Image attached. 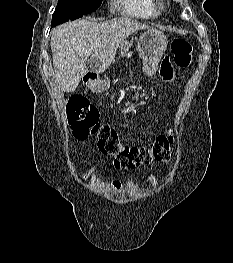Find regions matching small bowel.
<instances>
[{
	"instance_id": "obj_1",
	"label": "small bowel",
	"mask_w": 233,
	"mask_h": 263,
	"mask_svg": "<svg viewBox=\"0 0 233 263\" xmlns=\"http://www.w3.org/2000/svg\"><path fill=\"white\" fill-rule=\"evenodd\" d=\"M159 73L162 79L166 82H173L175 80V72L169 59H164L161 62ZM110 188L115 192H121V184L119 182H113Z\"/></svg>"
}]
</instances>
